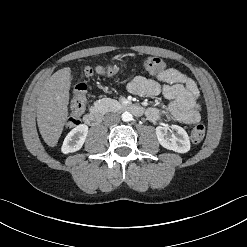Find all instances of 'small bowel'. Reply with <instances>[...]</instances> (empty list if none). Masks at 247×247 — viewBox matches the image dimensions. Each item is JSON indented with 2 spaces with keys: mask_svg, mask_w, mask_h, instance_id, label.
<instances>
[{
  "mask_svg": "<svg viewBox=\"0 0 247 247\" xmlns=\"http://www.w3.org/2000/svg\"><path fill=\"white\" fill-rule=\"evenodd\" d=\"M130 93L138 96H163L169 101L168 113L176 121L194 125L200 121L199 91L195 82L176 69H168L150 79L135 77L128 83ZM151 122L160 120L162 113L157 108L146 112Z\"/></svg>",
  "mask_w": 247,
  "mask_h": 247,
  "instance_id": "obj_1",
  "label": "small bowel"
}]
</instances>
